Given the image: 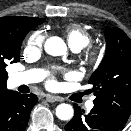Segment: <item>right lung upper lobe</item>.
Masks as SVG:
<instances>
[{"instance_id": "cb5924a9", "label": "right lung upper lobe", "mask_w": 131, "mask_h": 131, "mask_svg": "<svg viewBox=\"0 0 131 131\" xmlns=\"http://www.w3.org/2000/svg\"><path fill=\"white\" fill-rule=\"evenodd\" d=\"M42 18H30L23 16H10L0 18V54L6 52L11 44V36L13 31L21 24L27 22H42ZM43 23V22H42ZM7 78L0 74V96L9 92L6 87Z\"/></svg>"}]
</instances>
